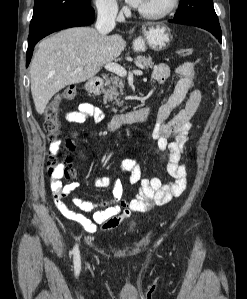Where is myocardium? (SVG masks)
Listing matches in <instances>:
<instances>
[{
  "instance_id": "1",
  "label": "myocardium",
  "mask_w": 247,
  "mask_h": 299,
  "mask_svg": "<svg viewBox=\"0 0 247 299\" xmlns=\"http://www.w3.org/2000/svg\"><path fill=\"white\" fill-rule=\"evenodd\" d=\"M178 2L179 0H168L167 4L159 10L146 11V10L139 9L138 13L146 19H150V20L161 19L169 15L176 8Z\"/></svg>"
}]
</instances>
